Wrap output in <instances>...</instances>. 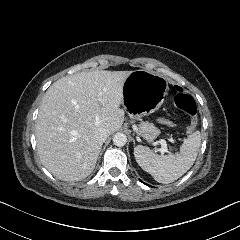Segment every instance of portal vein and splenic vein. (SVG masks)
Instances as JSON below:
<instances>
[{
    "mask_svg": "<svg viewBox=\"0 0 240 240\" xmlns=\"http://www.w3.org/2000/svg\"><path fill=\"white\" fill-rule=\"evenodd\" d=\"M157 144H160L161 147L158 149V151L163 155L165 153H169L167 142L165 139H160L159 141H156Z\"/></svg>",
    "mask_w": 240,
    "mask_h": 240,
    "instance_id": "1",
    "label": "portal vein and splenic vein"
}]
</instances>
